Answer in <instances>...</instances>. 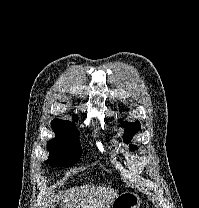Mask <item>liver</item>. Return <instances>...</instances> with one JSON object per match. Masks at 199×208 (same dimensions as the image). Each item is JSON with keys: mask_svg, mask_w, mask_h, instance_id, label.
I'll return each instance as SVG.
<instances>
[{"mask_svg": "<svg viewBox=\"0 0 199 208\" xmlns=\"http://www.w3.org/2000/svg\"><path fill=\"white\" fill-rule=\"evenodd\" d=\"M117 196V191L110 187L83 185L70 188L64 193L63 208H110Z\"/></svg>", "mask_w": 199, "mask_h": 208, "instance_id": "6515ba94", "label": "liver"}]
</instances>
